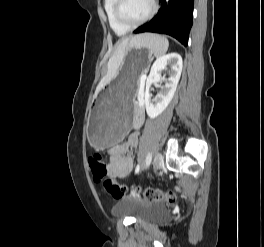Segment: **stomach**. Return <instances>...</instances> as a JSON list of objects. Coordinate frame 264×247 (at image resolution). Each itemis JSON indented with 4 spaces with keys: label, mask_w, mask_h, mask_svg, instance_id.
I'll return each mask as SVG.
<instances>
[{
    "label": "stomach",
    "mask_w": 264,
    "mask_h": 247,
    "mask_svg": "<svg viewBox=\"0 0 264 247\" xmlns=\"http://www.w3.org/2000/svg\"><path fill=\"white\" fill-rule=\"evenodd\" d=\"M144 36L129 43L128 48H133V53H127L123 62L131 63H121L118 76L104 86L93 101L88 121V140L94 148L115 147L116 142L123 141V136L130 131L136 84L139 75H143L148 67V58H151L148 48L141 44Z\"/></svg>",
    "instance_id": "obj_1"
}]
</instances>
